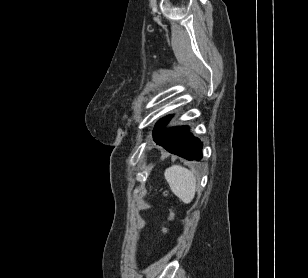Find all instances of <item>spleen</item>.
<instances>
[{
  "instance_id": "spleen-1",
  "label": "spleen",
  "mask_w": 308,
  "mask_h": 278,
  "mask_svg": "<svg viewBox=\"0 0 308 278\" xmlns=\"http://www.w3.org/2000/svg\"><path fill=\"white\" fill-rule=\"evenodd\" d=\"M164 175L171 191L183 203H191L196 193V177L193 171L181 165H172L165 170Z\"/></svg>"
}]
</instances>
